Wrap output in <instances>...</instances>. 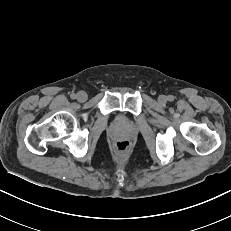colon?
I'll return each instance as SVG.
<instances>
[{"mask_svg": "<svg viewBox=\"0 0 231 231\" xmlns=\"http://www.w3.org/2000/svg\"><path fill=\"white\" fill-rule=\"evenodd\" d=\"M130 143L127 140H120L115 143V149L120 153H125L129 150Z\"/></svg>", "mask_w": 231, "mask_h": 231, "instance_id": "1", "label": "colon"}]
</instances>
